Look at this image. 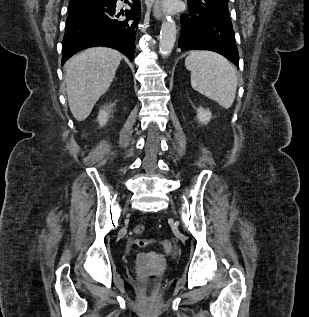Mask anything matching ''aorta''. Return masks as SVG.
Returning <instances> with one entry per match:
<instances>
[{
  "mask_svg": "<svg viewBox=\"0 0 309 317\" xmlns=\"http://www.w3.org/2000/svg\"><path fill=\"white\" fill-rule=\"evenodd\" d=\"M176 23L173 18L167 17L163 21L160 31L159 50L165 58L172 52L176 41Z\"/></svg>",
  "mask_w": 309,
  "mask_h": 317,
  "instance_id": "1",
  "label": "aorta"
}]
</instances>
